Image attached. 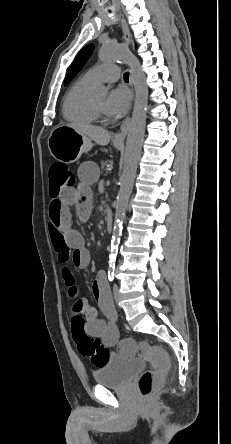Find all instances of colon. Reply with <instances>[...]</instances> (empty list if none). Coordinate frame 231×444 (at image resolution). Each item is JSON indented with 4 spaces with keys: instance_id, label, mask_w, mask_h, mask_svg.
Masks as SVG:
<instances>
[{
    "instance_id": "5ec220e1",
    "label": "colon",
    "mask_w": 231,
    "mask_h": 444,
    "mask_svg": "<svg viewBox=\"0 0 231 444\" xmlns=\"http://www.w3.org/2000/svg\"><path fill=\"white\" fill-rule=\"evenodd\" d=\"M75 184L72 171L63 163H54L49 168V193L57 201L66 188ZM85 319L79 313H72V337L79 353L88 358L96 367L103 366L110 355L109 349L100 341L88 335L84 329ZM121 346L136 351L151 364V369L144 371L138 379V388L142 396L147 397L163 383L164 374L169 368V359L165 351L146 342L125 339Z\"/></svg>"
}]
</instances>
